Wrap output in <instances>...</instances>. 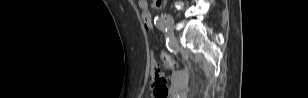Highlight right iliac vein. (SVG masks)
<instances>
[{
	"mask_svg": "<svg viewBox=\"0 0 308 98\" xmlns=\"http://www.w3.org/2000/svg\"><path fill=\"white\" fill-rule=\"evenodd\" d=\"M166 26H167V32L170 37L174 36V30H173V18L171 15L167 14L166 16Z\"/></svg>",
	"mask_w": 308,
	"mask_h": 98,
	"instance_id": "63e3f726",
	"label": "right iliac vein"
}]
</instances>
